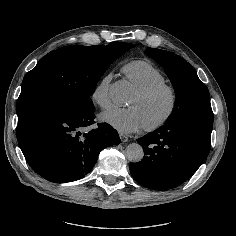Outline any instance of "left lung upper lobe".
<instances>
[{
	"instance_id": "obj_1",
	"label": "left lung upper lobe",
	"mask_w": 236,
	"mask_h": 236,
	"mask_svg": "<svg viewBox=\"0 0 236 236\" xmlns=\"http://www.w3.org/2000/svg\"><path fill=\"white\" fill-rule=\"evenodd\" d=\"M146 54L163 66L176 93L175 107L164 125L189 120L213 123L208 88L194 68L172 52L147 48Z\"/></svg>"
}]
</instances>
